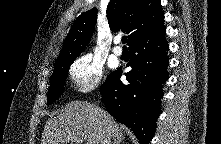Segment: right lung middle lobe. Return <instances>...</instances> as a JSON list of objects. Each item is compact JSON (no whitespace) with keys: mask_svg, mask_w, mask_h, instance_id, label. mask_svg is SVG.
Instances as JSON below:
<instances>
[{"mask_svg":"<svg viewBox=\"0 0 221 144\" xmlns=\"http://www.w3.org/2000/svg\"><path fill=\"white\" fill-rule=\"evenodd\" d=\"M71 64L72 62H68L54 67L47 97L48 104H51L52 101H55L63 93L65 80Z\"/></svg>","mask_w":221,"mask_h":144,"instance_id":"1","label":"right lung middle lobe"}]
</instances>
